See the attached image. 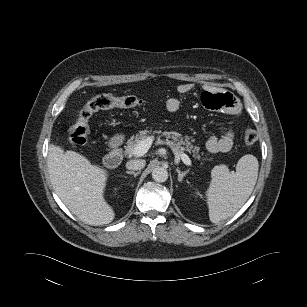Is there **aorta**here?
<instances>
[{"mask_svg": "<svg viewBox=\"0 0 307 307\" xmlns=\"http://www.w3.org/2000/svg\"><path fill=\"white\" fill-rule=\"evenodd\" d=\"M152 178L156 182H165L168 179V171L163 167H155L152 171Z\"/></svg>", "mask_w": 307, "mask_h": 307, "instance_id": "762f6f07", "label": "aorta"}]
</instances>
